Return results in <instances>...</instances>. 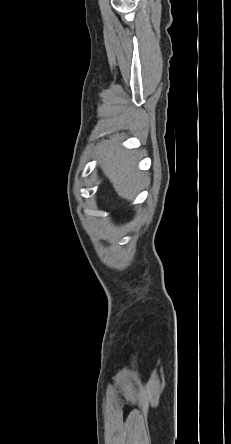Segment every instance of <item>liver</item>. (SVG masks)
Returning <instances> with one entry per match:
<instances>
[{"label":"liver","mask_w":231,"mask_h":444,"mask_svg":"<svg viewBox=\"0 0 231 444\" xmlns=\"http://www.w3.org/2000/svg\"><path fill=\"white\" fill-rule=\"evenodd\" d=\"M99 157L101 169L118 196L132 200L147 180V177L136 169V154L119 148L116 142L109 141L102 147Z\"/></svg>","instance_id":"1"}]
</instances>
